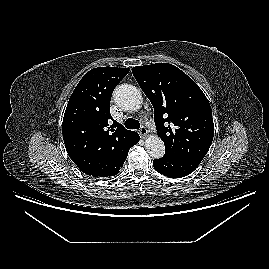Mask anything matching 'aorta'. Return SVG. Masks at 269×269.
<instances>
[{
  "label": "aorta",
  "mask_w": 269,
  "mask_h": 269,
  "mask_svg": "<svg viewBox=\"0 0 269 269\" xmlns=\"http://www.w3.org/2000/svg\"><path fill=\"white\" fill-rule=\"evenodd\" d=\"M115 102L125 110L136 111L143 102L141 92L133 85L123 84L118 86L113 94ZM147 153L154 159L164 156L165 146L158 135H149L145 140Z\"/></svg>",
  "instance_id": "1"
}]
</instances>
